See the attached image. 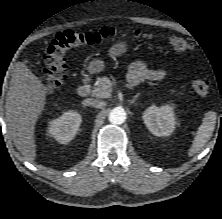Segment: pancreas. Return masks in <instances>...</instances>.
Instances as JSON below:
<instances>
[{
    "label": "pancreas",
    "instance_id": "obj_1",
    "mask_svg": "<svg viewBox=\"0 0 222 219\" xmlns=\"http://www.w3.org/2000/svg\"><path fill=\"white\" fill-rule=\"evenodd\" d=\"M113 83L106 76L99 78L97 86L92 90V96L97 98H108L112 90Z\"/></svg>",
    "mask_w": 222,
    "mask_h": 219
}]
</instances>
